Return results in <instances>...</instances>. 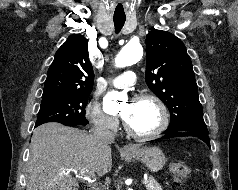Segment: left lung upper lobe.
<instances>
[{
  "label": "left lung upper lobe",
  "mask_w": 238,
  "mask_h": 190,
  "mask_svg": "<svg viewBox=\"0 0 238 190\" xmlns=\"http://www.w3.org/2000/svg\"><path fill=\"white\" fill-rule=\"evenodd\" d=\"M146 83L168 107L170 127L204 123L192 63L175 35L152 30L146 37Z\"/></svg>",
  "instance_id": "1"
}]
</instances>
